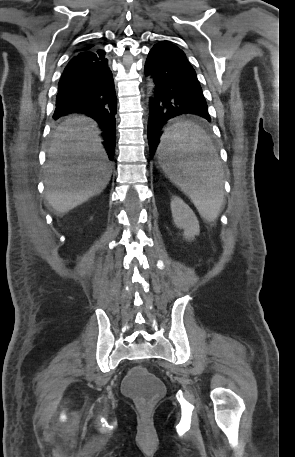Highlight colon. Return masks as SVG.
I'll return each instance as SVG.
<instances>
[{
	"mask_svg": "<svg viewBox=\"0 0 295 457\" xmlns=\"http://www.w3.org/2000/svg\"><path fill=\"white\" fill-rule=\"evenodd\" d=\"M122 389L143 408L150 407L162 393L158 376L150 374V369H129Z\"/></svg>",
	"mask_w": 295,
	"mask_h": 457,
	"instance_id": "5ec220e1",
	"label": "colon"
}]
</instances>
